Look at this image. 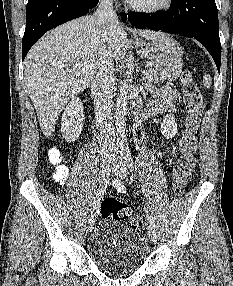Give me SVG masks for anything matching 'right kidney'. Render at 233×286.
<instances>
[{
	"label": "right kidney",
	"instance_id": "right-kidney-1",
	"mask_svg": "<svg viewBox=\"0 0 233 286\" xmlns=\"http://www.w3.org/2000/svg\"><path fill=\"white\" fill-rule=\"evenodd\" d=\"M84 124L83 105L79 98H72L61 119V132L67 142H74L81 134Z\"/></svg>",
	"mask_w": 233,
	"mask_h": 286
}]
</instances>
